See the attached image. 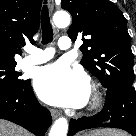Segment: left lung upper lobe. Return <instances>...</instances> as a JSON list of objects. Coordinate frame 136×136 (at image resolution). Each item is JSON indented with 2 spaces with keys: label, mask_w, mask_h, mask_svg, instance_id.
<instances>
[{
  "label": "left lung upper lobe",
  "mask_w": 136,
  "mask_h": 136,
  "mask_svg": "<svg viewBox=\"0 0 136 136\" xmlns=\"http://www.w3.org/2000/svg\"><path fill=\"white\" fill-rule=\"evenodd\" d=\"M61 6L73 17L69 37L75 41L82 35L81 64L107 89L132 86L131 38L119 8L109 0H62Z\"/></svg>",
  "instance_id": "5c2ea615"
}]
</instances>
